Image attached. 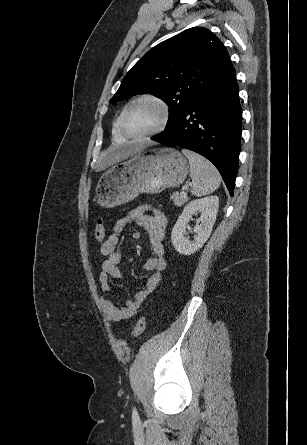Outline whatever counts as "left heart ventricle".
I'll list each match as a JSON object with an SVG mask.
<instances>
[{
  "label": "left heart ventricle",
  "instance_id": "1",
  "mask_svg": "<svg viewBox=\"0 0 307 445\" xmlns=\"http://www.w3.org/2000/svg\"><path fill=\"white\" fill-rule=\"evenodd\" d=\"M162 119V111L153 102L144 101L132 105L128 111V125L132 132L142 133L156 128Z\"/></svg>",
  "mask_w": 307,
  "mask_h": 445
}]
</instances>
